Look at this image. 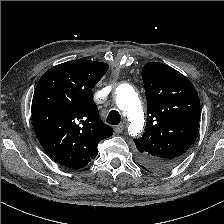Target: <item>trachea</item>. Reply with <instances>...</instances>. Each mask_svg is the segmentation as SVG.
Returning <instances> with one entry per match:
<instances>
[{
  "label": "trachea",
  "mask_w": 224,
  "mask_h": 224,
  "mask_svg": "<svg viewBox=\"0 0 224 224\" xmlns=\"http://www.w3.org/2000/svg\"><path fill=\"white\" fill-rule=\"evenodd\" d=\"M121 121V115L116 110H111L107 116V123L110 125H118Z\"/></svg>",
  "instance_id": "obj_1"
}]
</instances>
